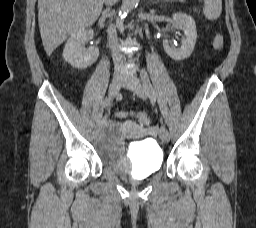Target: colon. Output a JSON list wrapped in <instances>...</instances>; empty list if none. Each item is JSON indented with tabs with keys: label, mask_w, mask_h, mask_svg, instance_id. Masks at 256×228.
Returning <instances> with one entry per match:
<instances>
[{
	"label": "colon",
	"mask_w": 256,
	"mask_h": 228,
	"mask_svg": "<svg viewBox=\"0 0 256 228\" xmlns=\"http://www.w3.org/2000/svg\"><path fill=\"white\" fill-rule=\"evenodd\" d=\"M224 45V40L222 35H217L214 39V48L217 50H220L223 48ZM117 117L119 118H125L127 117V113L126 112H118ZM135 120L145 126H149L151 124L150 118L148 117L147 114L143 113V112H138L134 115Z\"/></svg>",
	"instance_id": "obj_1"
}]
</instances>
